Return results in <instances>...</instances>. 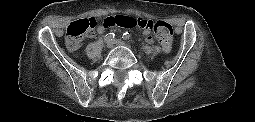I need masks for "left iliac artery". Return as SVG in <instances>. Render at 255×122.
Instances as JSON below:
<instances>
[{"label":"left iliac artery","mask_w":255,"mask_h":122,"mask_svg":"<svg viewBox=\"0 0 255 122\" xmlns=\"http://www.w3.org/2000/svg\"><path fill=\"white\" fill-rule=\"evenodd\" d=\"M130 38H131L130 33L126 32V33L123 34V39H124L125 41H128Z\"/></svg>","instance_id":"left-iliac-artery-1"}]
</instances>
